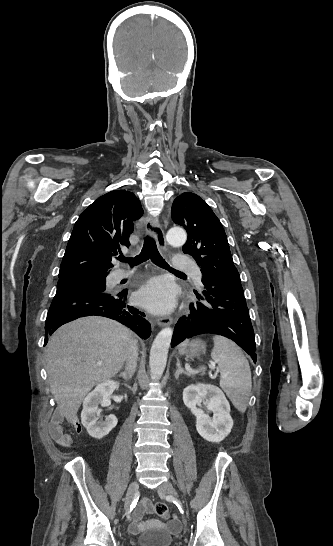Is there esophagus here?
Wrapping results in <instances>:
<instances>
[{
	"instance_id": "34e87169",
	"label": "esophagus",
	"mask_w": 333,
	"mask_h": 546,
	"mask_svg": "<svg viewBox=\"0 0 333 546\" xmlns=\"http://www.w3.org/2000/svg\"><path fill=\"white\" fill-rule=\"evenodd\" d=\"M145 229L147 234L153 236L156 239L158 246L164 250L166 248V241L164 231L161 228L159 222L153 219L150 215H148L146 219ZM172 322L173 318L171 316H163L157 319V324L160 327L168 326Z\"/></svg>"
}]
</instances>
